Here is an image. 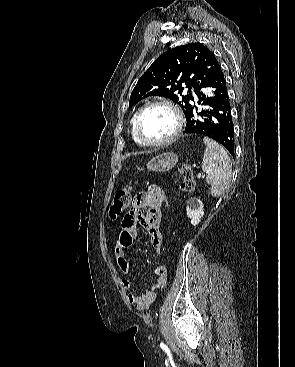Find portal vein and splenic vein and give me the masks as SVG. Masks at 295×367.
<instances>
[{
	"mask_svg": "<svg viewBox=\"0 0 295 367\" xmlns=\"http://www.w3.org/2000/svg\"><path fill=\"white\" fill-rule=\"evenodd\" d=\"M204 177H205V175H203V174H201V173H198V174H197V178H198V179H201V178H204Z\"/></svg>",
	"mask_w": 295,
	"mask_h": 367,
	"instance_id": "1",
	"label": "portal vein and splenic vein"
}]
</instances>
